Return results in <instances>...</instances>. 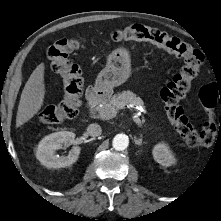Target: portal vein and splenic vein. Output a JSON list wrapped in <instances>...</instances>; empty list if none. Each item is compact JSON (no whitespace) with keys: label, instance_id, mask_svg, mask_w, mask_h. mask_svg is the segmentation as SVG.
<instances>
[{"label":"portal vein and splenic vein","instance_id":"1","mask_svg":"<svg viewBox=\"0 0 221 221\" xmlns=\"http://www.w3.org/2000/svg\"><path fill=\"white\" fill-rule=\"evenodd\" d=\"M116 115H117L116 110H101L99 112V117L103 120L112 119V118L116 117ZM132 118L138 126H141V120L136 114H133Z\"/></svg>","mask_w":221,"mask_h":221}]
</instances>
